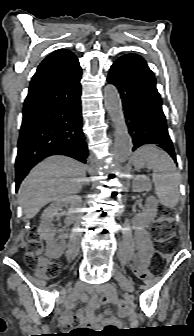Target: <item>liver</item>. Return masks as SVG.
<instances>
[{"instance_id": "1", "label": "liver", "mask_w": 194, "mask_h": 336, "mask_svg": "<svg viewBox=\"0 0 194 336\" xmlns=\"http://www.w3.org/2000/svg\"><path fill=\"white\" fill-rule=\"evenodd\" d=\"M85 166L66 156H51L36 165L23 180L19 203L27 219L60 198L77 194L86 182Z\"/></svg>"}]
</instances>
